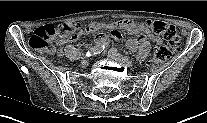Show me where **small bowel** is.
I'll list each match as a JSON object with an SVG mask.
<instances>
[{
	"label": "small bowel",
	"mask_w": 207,
	"mask_h": 123,
	"mask_svg": "<svg viewBox=\"0 0 207 123\" xmlns=\"http://www.w3.org/2000/svg\"><path fill=\"white\" fill-rule=\"evenodd\" d=\"M117 30H123L130 35H136L135 38H131L126 42V47L131 51H136L140 45L146 42V39L155 45L162 44V39L158 35L152 33L145 24H137L129 19L114 22H93L83 27L80 32L81 34L98 33L95 37V43L97 45H107L109 38L106 34L102 33V31H110L115 38H119ZM74 39H76V37L71 38V40ZM64 42L63 39H60L57 41V45L62 46Z\"/></svg>",
	"instance_id": "small-bowel-1"
}]
</instances>
